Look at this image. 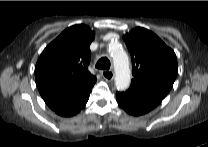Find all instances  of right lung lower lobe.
<instances>
[{
    "mask_svg": "<svg viewBox=\"0 0 208 147\" xmlns=\"http://www.w3.org/2000/svg\"><path fill=\"white\" fill-rule=\"evenodd\" d=\"M89 95H90V93L88 95H86L83 99L78 101L77 103H75L71 106H68V107L58 109L55 112L61 116H65V117L73 116V115L77 114L81 109L84 108V106L86 105V103L89 99Z\"/></svg>",
    "mask_w": 208,
    "mask_h": 147,
    "instance_id": "obj_1",
    "label": "right lung lower lobe"
}]
</instances>
